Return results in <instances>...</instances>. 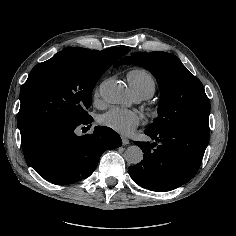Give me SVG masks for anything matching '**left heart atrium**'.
I'll use <instances>...</instances> for the list:
<instances>
[{
  "instance_id": "obj_1",
  "label": "left heart atrium",
  "mask_w": 236,
  "mask_h": 236,
  "mask_svg": "<svg viewBox=\"0 0 236 236\" xmlns=\"http://www.w3.org/2000/svg\"><path fill=\"white\" fill-rule=\"evenodd\" d=\"M142 116L132 110L112 108L100 117V123L115 132L129 136L142 123Z\"/></svg>"
}]
</instances>
